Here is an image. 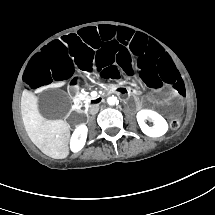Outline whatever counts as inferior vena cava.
<instances>
[{
  "label": "inferior vena cava",
  "instance_id": "1",
  "mask_svg": "<svg viewBox=\"0 0 215 215\" xmlns=\"http://www.w3.org/2000/svg\"><path fill=\"white\" fill-rule=\"evenodd\" d=\"M98 111H99V106L96 104L90 106V108H89L90 114H96Z\"/></svg>",
  "mask_w": 215,
  "mask_h": 215
}]
</instances>
